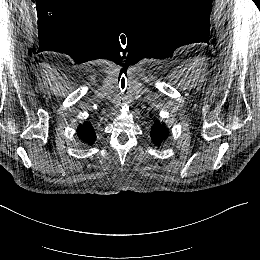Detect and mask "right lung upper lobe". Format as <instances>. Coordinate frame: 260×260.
I'll list each match as a JSON object with an SVG mask.
<instances>
[{
  "instance_id": "obj_1",
  "label": "right lung upper lobe",
  "mask_w": 260,
  "mask_h": 260,
  "mask_svg": "<svg viewBox=\"0 0 260 260\" xmlns=\"http://www.w3.org/2000/svg\"><path fill=\"white\" fill-rule=\"evenodd\" d=\"M77 134L82 142L87 145H93L96 140V134L90 122L85 121L77 129Z\"/></svg>"
}]
</instances>
